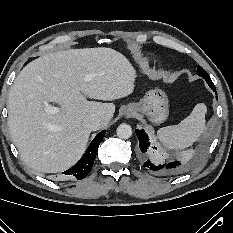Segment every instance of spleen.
Masks as SVG:
<instances>
[{"instance_id": "1", "label": "spleen", "mask_w": 233, "mask_h": 233, "mask_svg": "<svg viewBox=\"0 0 233 233\" xmlns=\"http://www.w3.org/2000/svg\"><path fill=\"white\" fill-rule=\"evenodd\" d=\"M206 112L204 103L197 104L178 125L160 128L157 132L159 140L170 149H184L192 145L205 129Z\"/></svg>"}]
</instances>
